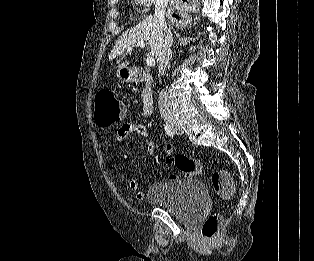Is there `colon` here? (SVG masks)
<instances>
[{
	"mask_svg": "<svg viewBox=\"0 0 314 261\" xmlns=\"http://www.w3.org/2000/svg\"><path fill=\"white\" fill-rule=\"evenodd\" d=\"M125 106L111 90H101L95 97V120L100 127H108L124 119ZM166 161L175 165L186 177H194L204 173L201 163L187 155H168ZM211 184L214 191L223 199L233 196L235 187L230 173L226 170H216L211 174ZM222 216L213 213L207 217L201 226V235L205 239L215 238L220 230Z\"/></svg>",
	"mask_w": 314,
	"mask_h": 261,
	"instance_id": "obj_1",
	"label": "colon"
}]
</instances>
